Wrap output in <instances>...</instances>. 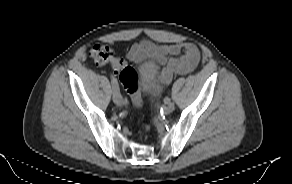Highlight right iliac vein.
Returning <instances> with one entry per match:
<instances>
[{"mask_svg":"<svg viewBox=\"0 0 292 184\" xmlns=\"http://www.w3.org/2000/svg\"><path fill=\"white\" fill-rule=\"evenodd\" d=\"M113 101H114V103L116 104V105H122V104H124L125 102L123 101V99H122V97L120 96H118L117 95V92H114L113 93Z\"/></svg>","mask_w":292,"mask_h":184,"instance_id":"1","label":"right iliac vein"}]
</instances>
